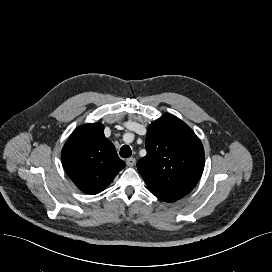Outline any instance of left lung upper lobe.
Returning a JSON list of instances; mask_svg holds the SVG:
<instances>
[{"instance_id": "5c2ea615", "label": "left lung upper lobe", "mask_w": 272, "mask_h": 272, "mask_svg": "<svg viewBox=\"0 0 272 272\" xmlns=\"http://www.w3.org/2000/svg\"><path fill=\"white\" fill-rule=\"evenodd\" d=\"M147 155L137 168L149 191L184 197L198 183L205 165L204 148L194 131L172 114L150 124Z\"/></svg>"}]
</instances>
